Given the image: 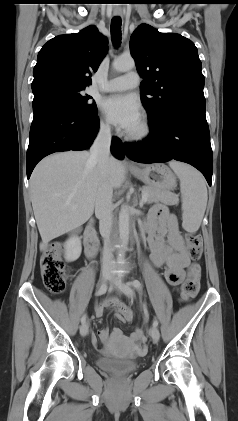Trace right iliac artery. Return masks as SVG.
Wrapping results in <instances>:
<instances>
[{
	"mask_svg": "<svg viewBox=\"0 0 238 421\" xmlns=\"http://www.w3.org/2000/svg\"><path fill=\"white\" fill-rule=\"evenodd\" d=\"M106 290H107V285L105 283H103L101 285V287L99 288V290L95 294H96V296H100V295L104 294L106 292ZM85 321H86V314H84L82 316L81 323L83 324V323H85Z\"/></svg>",
	"mask_w": 238,
	"mask_h": 421,
	"instance_id": "1",
	"label": "right iliac artery"
}]
</instances>
